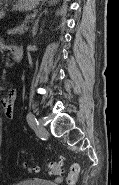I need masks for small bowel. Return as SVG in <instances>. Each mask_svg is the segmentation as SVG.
Here are the masks:
<instances>
[{
	"instance_id": "obj_1",
	"label": "small bowel",
	"mask_w": 119,
	"mask_h": 185,
	"mask_svg": "<svg viewBox=\"0 0 119 185\" xmlns=\"http://www.w3.org/2000/svg\"><path fill=\"white\" fill-rule=\"evenodd\" d=\"M15 46H10L6 44H1L2 50H10L12 52V49ZM16 100V93L14 90H11L10 93L1 99V105L4 109L5 115L7 118H12L13 112H14V105Z\"/></svg>"
}]
</instances>
